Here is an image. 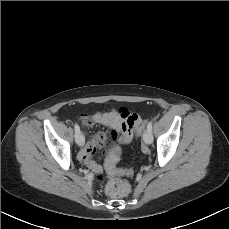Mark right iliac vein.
<instances>
[{
    "label": "right iliac vein",
    "instance_id": "63e3f726",
    "mask_svg": "<svg viewBox=\"0 0 229 229\" xmlns=\"http://www.w3.org/2000/svg\"><path fill=\"white\" fill-rule=\"evenodd\" d=\"M75 141H76L78 146H83V144L85 142L84 135L81 132L76 134Z\"/></svg>",
    "mask_w": 229,
    "mask_h": 229
}]
</instances>
